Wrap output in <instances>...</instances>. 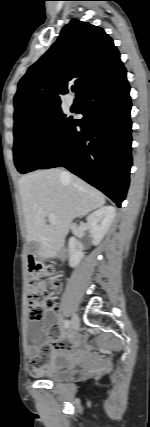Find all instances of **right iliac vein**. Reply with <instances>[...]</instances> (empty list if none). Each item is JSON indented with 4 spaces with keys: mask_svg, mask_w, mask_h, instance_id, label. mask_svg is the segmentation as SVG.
I'll return each mask as SVG.
<instances>
[{
    "mask_svg": "<svg viewBox=\"0 0 150 427\" xmlns=\"http://www.w3.org/2000/svg\"><path fill=\"white\" fill-rule=\"evenodd\" d=\"M80 326V321H79V317L77 315H73L72 319H71V329L72 330H77Z\"/></svg>",
    "mask_w": 150,
    "mask_h": 427,
    "instance_id": "obj_1",
    "label": "right iliac vein"
}]
</instances>
